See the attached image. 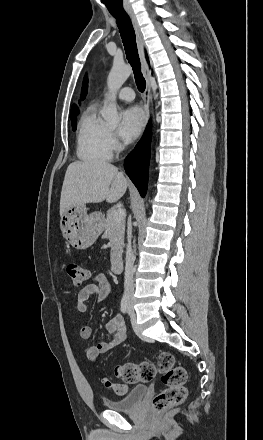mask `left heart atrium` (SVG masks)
<instances>
[{"mask_svg": "<svg viewBox=\"0 0 263 440\" xmlns=\"http://www.w3.org/2000/svg\"><path fill=\"white\" fill-rule=\"evenodd\" d=\"M144 122V112L138 106H132L124 110L119 129L121 138L126 142L136 139L142 131Z\"/></svg>", "mask_w": 263, "mask_h": 440, "instance_id": "39dd6f15", "label": "left heart atrium"}]
</instances>
